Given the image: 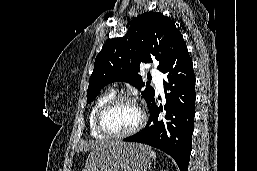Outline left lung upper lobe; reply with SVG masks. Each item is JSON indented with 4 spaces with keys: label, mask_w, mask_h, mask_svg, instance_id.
<instances>
[{
    "label": "left lung upper lobe",
    "mask_w": 257,
    "mask_h": 171,
    "mask_svg": "<svg viewBox=\"0 0 257 171\" xmlns=\"http://www.w3.org/2000/svg\"><path fill=\"white\" fill-rule=\"evenodd\" d=\"M185 46L172 20L161 13H143L131 22L125 36L109 40L97 55L87 102L90 103L105 85L115 81L128 82L142 89L145 83L138 74L140 63L157 61V69L161 71L171 54ZM141 94L148 102L154 89L146 85Z\"/></svg>",
    "instance_id": "left-lung-upper-lobe-1"
}]
</instances>
